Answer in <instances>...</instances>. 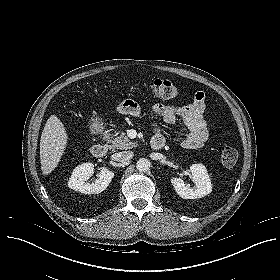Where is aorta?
<instances>
[{
    "instance_id": "1",
    "label": "aorta",
    "mask_w": 280,
    "mask_h": 280,
    "mask_svg": "<svg viewBox=\"0 0 280 280\" xmlns=\"http://www.w3.org/2000/svg\"><path fill=\"white\" fill-rule=\"evenodd\" d=\"M136 167L139 172H146L150 168V161L146 158H140L137 161Z\"/></svg>"
}]
</instances>
